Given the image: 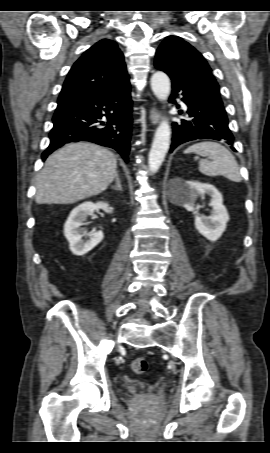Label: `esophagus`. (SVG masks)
Here are the masks:
<instances>
[{"mask_svg":"<svg viewBox=\"0 0 270 453\" xmlns=\"http://www.w3.org/2000/svg\"><path fill=\"white\" fill-rule=\"evenodd\" d=\"M150 119L154 125H156L160 120V113L155 107L150 110Z\"/></svg>","mask_w":270,"mask_h":453,"instance_id":"1","label":"esophagus"}]
</instances>
